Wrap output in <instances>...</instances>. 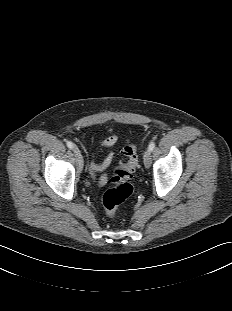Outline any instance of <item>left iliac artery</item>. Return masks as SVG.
I'll use <instances>...</instances> for the list:
<instances>
[{
  "mask_svg": "<svg viewBox=\"0 0 232 311\" xmlns=\"http://www.w3.org/2000/svg\"><path fill=\"white\" fill-rule=\"evenodd\" d=\"M154 148H155V142H154V141H152V142L149 144L148 149H149L150 151H153V150H154Z\"/></svg>",
  "mask_w": 232,
  "mask_h": 311,
  "instance_id": "1",
  "label": "left iliac artery"
}]
</instances>
